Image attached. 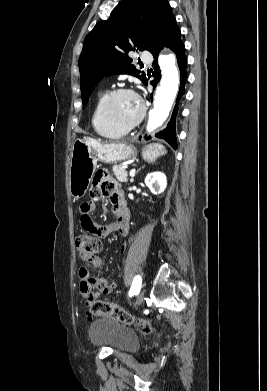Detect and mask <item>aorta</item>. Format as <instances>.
I'll return each instance as SVG.
<instances>
[{"label":"aorta","mask_w":267,"mask_h":391,"mask_svg":"<svg viewBox=\"0 0 267 391\" xmlns=\"http://www.w3.org/2000/svg\"><path fill=\"white\" fill-rule=\"evenodd\" d=\"M174 55H160L162 77L154 96V107L149 112L147 132H152L167 119L179 89V73Z\"/></svg>","instance_id":"1"}]
</instances>
